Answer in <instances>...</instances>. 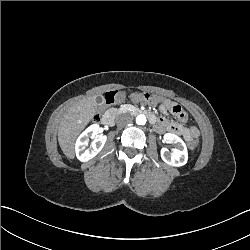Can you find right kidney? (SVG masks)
I'll return each mask as SVG.
<instances>
[{"instance_id": "obj_1", "label": "right kidney", "mask_w": 250, "mask_h": 250, "mask_svg": "<svg viewBox=\"0 0 250 250\" xmlns=\"http://www.w3.org/2000/svg\"><path fill=\"white\" fill-rule=\"evenodd\" d=\"M100 132V125L97 123L88 126L77 138L75 143V155L80 161H87L94 157L104 146L106 136L97 137L91 144L90 148H86L90 138H93Z\"/></svg>"}]
</instances>
